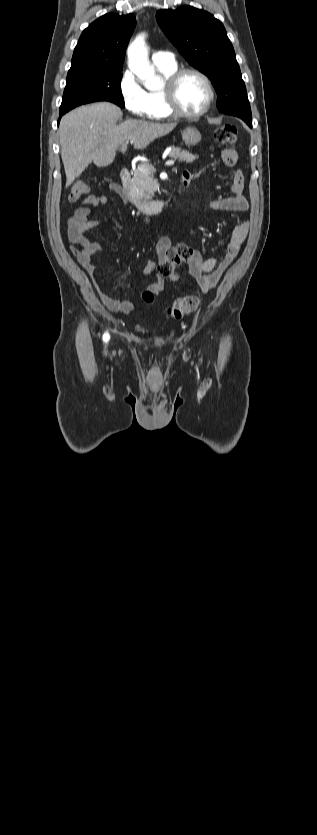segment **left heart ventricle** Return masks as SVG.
I'll list each match as a JSON object with an SVG mask.
<instances>
[{"label": "left heart ventricle", "instance_id": "obj_1", "mask_svg": "<svg viewBox=\"0 0 317 835\" xmlns=\"http://www.w3.org/2000/svg\"><path fill=\"white\" fill-rule=\"evenodd\" d=\"M208 98L204 81L194 74L184 76L177 90L180 108L186 113H196L203 108Z\"/></svg>", "mask_w": 317, "mask_h": 835}]
</instances>
